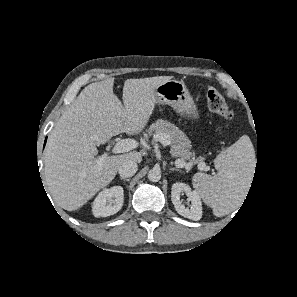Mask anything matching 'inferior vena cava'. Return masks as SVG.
Returning a JSON list of instances; mask_svg holds the SVG:
<instances>
[{"label":"inferior vena cava","instance_id":"1","mask_svg":"<svg viewBox=\"0 0 297 297\" xmlns=\"http://www.w3.org/2000/svg\"><path fill=\"white\" fill-rule=\"evenodd\" d=\"M137 170H138V166L135 161L126 160L120 165L118 172L121 177L128 178L133 176Z\"/></svg>","mask_w":297,"mask_h":297}]
</instances>
